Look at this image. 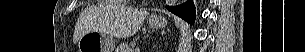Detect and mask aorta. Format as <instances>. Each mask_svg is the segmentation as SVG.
Returning <instances> with one entry per match:
<instances>
[{
	"mask_svg": "<svg viewBox=\"0 0 305 52\" xmlns=\"http://www.w3.org/2000/svg\"><path fill=\"white\" fill-rule=\"evenodd\" d=\"M177 3V0H166V5H169V6H174L176 5Z\"/></svg>",
	"mask_w": 305,
	"mask_h": 52,
	"instance_id": "aorta-1",
	"label": "aorta"
}]
</instances>
